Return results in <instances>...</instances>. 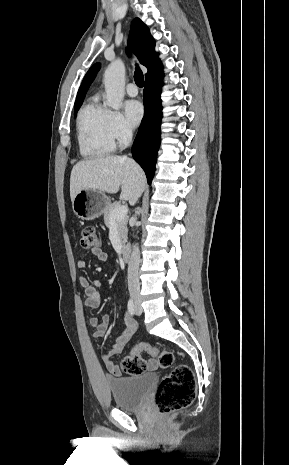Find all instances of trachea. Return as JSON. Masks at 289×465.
<instances>
[{
  "label": "trachea",
  "instance_id": "1",
  "mask_svg": "<svg viewBox=\"0 0 289 465\" xmlns=\"http://www.w3.org/2000/svg\"><path fill=\"white\" fill-rule=\"evenodd\" d=\"M134 80H135V83L138 87H143L144 85V76H143V73L142 71L140 70V68L138 66H136V70H135V73H134Z\"/></svg>",
  "mask_w": 289,
  "mask_h": 465
}]
</instances>
